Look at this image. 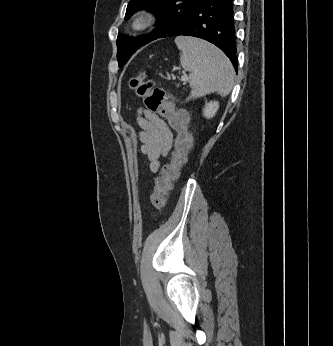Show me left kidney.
<instances>
[{
  "label": "left kidney",
  "instance_id": "obj_1",
  "mask_svg": "<svg viewBox=\"0 0 333 346\" xmlns=\"http://www.w3.org/2000/svg\"><path fill=\"white\" fill-rule=\"evenodd\" d=\"M218 108L219 103L217 101H210L209 103H206L203 109V116H205L207 119L214 117Z\"/></svg>",
  "mask_w": 333,
  "mask_h": 346
}]
</instances>
